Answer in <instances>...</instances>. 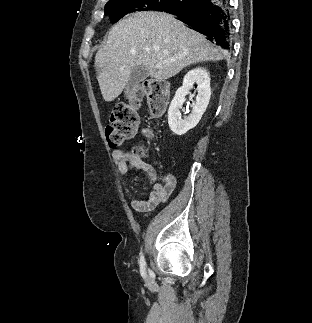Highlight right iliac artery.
Masks as SVG:
<instances>
[{
  "label": "right iliac artery",
  "mask_w": 312,
  "mask_h": 323,
  "mask_svg": "<svg viewBox=\"0 0 312 323\" xmlns=\"http://www.w3.org/2000/svg\"><path fill=\"white\" fill-rule=\"evenodd\" d=\"M139 264H140V270H141L142 272H145L146 262H145V260H144V257H143V256H141Z\"/></svg>",
  "instance_id": "right-iliac-artery-1"
}]
</instances>
